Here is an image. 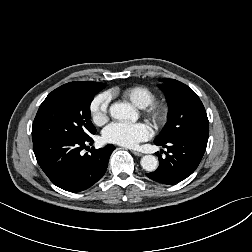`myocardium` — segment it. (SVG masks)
Here are the masks:
<instances>
[{
    "instance_id": "1",
    "label": "myocardium",
    "mask_w": 252,
    "mask_h": 252,
    "mask_svg": "<svg viewBox=\"0 0 252 252\" xmlns=\"http://www.w3.org/2000/svg\"><path fill=\"white\" fill-rule=\"evenodd\" d=\"M145 113L155 126H161L167 119L168 108L163 103H152L146 107Z\"/></svg>"
}]
</instances>
